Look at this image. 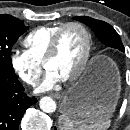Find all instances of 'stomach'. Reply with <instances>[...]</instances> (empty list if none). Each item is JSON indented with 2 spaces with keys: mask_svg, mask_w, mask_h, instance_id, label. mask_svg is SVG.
<instances>
[{
  "mask_svg": "<svg viewBox=\"0 0 130 130\" xmlns=\"http://www.w3.org/2000/svg\"><path fill=\"white\" fill-rule=\"evenodd\" d=\"M121 92V76L109 58H97L63 95L61 113L74 121L94 123L110 118Z\"/></svg>",
  "mask_w": 130,
  "mask_h": 130,
  "instance_id": "obj_1",
  "label": "stomach"
}]
</instances>
